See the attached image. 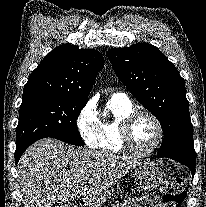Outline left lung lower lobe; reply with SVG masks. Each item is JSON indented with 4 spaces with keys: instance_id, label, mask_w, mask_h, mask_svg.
Instances as JSON below:
<instances>
[{
    "instance_id": "1",
    "label": "left lung lower lobe",
    "mask_w": 206,
    "mask_h": 207,
    "mask_svg": "<svg viewBox=\"0 0 206 207\" xmlns=\"http://www.w3.org/2000/svg\"><path fill=\"white\" fill-rule=\"evenodd\" d=\"M174 160L180 162L181 164L186 165L191 170L192 175L194 176V173H195V163L194 162L178 160V159H174Z\"/></svg>"
}]
</instances>
